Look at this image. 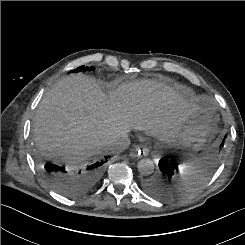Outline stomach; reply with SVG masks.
Listing matches in <instances>:
<instances>
[{
  "instance_id": "1",
  "label": "stomach",
  "mask_w": 245,
  "mask_h": 245,
  "mask_svg": "<svg viewBox=\"0 0 245 245\" xmlns=\"http://www.w3.org/2000/svg\"><path fill=\"white\" fill-rule=\"evenodd\" d=\"M218 120L213 102L204 100L198 110L182 121L173 139L197 151L214 139L218 132Z\"/></svg>"
}]
</instances>
